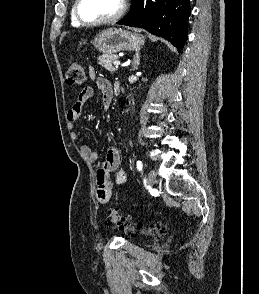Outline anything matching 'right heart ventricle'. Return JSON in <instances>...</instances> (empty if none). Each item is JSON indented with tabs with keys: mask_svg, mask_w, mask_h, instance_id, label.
Listing matches in <instances>:
<instances>
[{
	"mask_svg": "<svg viewBox=\"0 0 259 294\" xmlns=\"http://www.w3.org/2000/svg\"><path fill=\"white\" fill-rule=\"evenodd\" d=\"M73 8H72V11H71V25L73 27H81L82 25L80 23H78V21L76 20V18L74 16Z\"/></svg>",
	"mask_w": 259,
	"mask_h": 294,
	"instance_id": "e07e8e85",
	"label": "right heart ventricle"
}]
</instances>
